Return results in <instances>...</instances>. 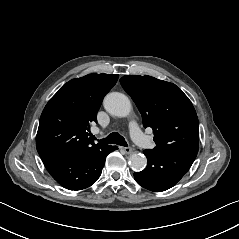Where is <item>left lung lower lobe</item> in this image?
I'll use <instances>...</instances> for the list:
<instances>
[{
    "label": "left lung lower lobe",
    "mask_w": 239,
    "mask_h": 239,
    "mask_svg": "<svg viewBox=\"0 0 239 239\" xmlns=\"http://www.w3.org/2000/svg\"><path fill=\"white\" fill-rule=\"evenodd\" d=\"M148 165L141 172H135L136 182L151 191L161 192L173 187L190 169L197 153L192 151L158 152L144 150Z\"/></svg>",
    "instance_id": "0a47b994"
}]
</instances>
